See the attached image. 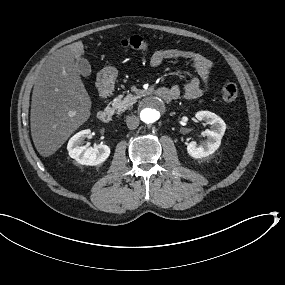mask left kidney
Instances as JSON below:
<instances>
[{
  "mask_svg": "<svg viewBox=\"0 0 285 285\" xmlns=\"http://www.w3.org/2000/svg\"><path fill=\"white\" fill-rule=\"evenodd\" d=\"M195 117L199 121H205L212 126L211 130L204 131L207 140L203 144L197 145L195 141H192L187 146V152L191 157L202 158L213 154L219 148L226 124L218 115L210 111H198Z\"/></svg>",
  "mask_w": 285,
  "mask_h": 285,
  "instance_id": "obj_1",
  "label": "left kidney"
}]
</instances>
